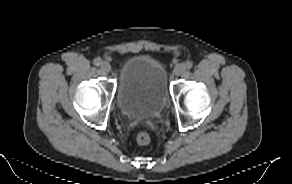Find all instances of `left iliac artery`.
<instances>
[{"label": "left iliac artery", "mask_w": 292, "mask_h": 184, "mask_svg": "<svg viewBox=\"0 0 292 184\" xmlns=\"http://www.w3.org/2000/svg\"><path fill=\"white\" fill-rule=\"evenodd\" d=\"M192 66H193V63L190 62V61H187V62L185 63V68H186V69H191Z\"/></svg>", "instance_id": "left-iliac-artery-1"}]
</instances>
